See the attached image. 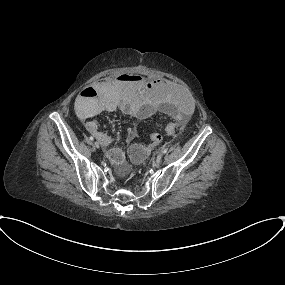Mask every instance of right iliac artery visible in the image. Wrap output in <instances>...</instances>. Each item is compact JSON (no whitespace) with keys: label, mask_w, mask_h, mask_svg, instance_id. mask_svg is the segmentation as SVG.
<instances>
[{"label":"right iliac artery","mask_w":285,"mask_h":285,"mask_svg":"<svg viewBox=\"0 0 285 285\" xmlns=\"http://www.w3.org/2000/svg\"><path fill=\"white\" fill-rule=\"evenodd\" d=\"M90 140H91V141H93V140H94V138L91 136V137H90Z\"/></svg>","instance_id":"obj_1"}]
</instances>
